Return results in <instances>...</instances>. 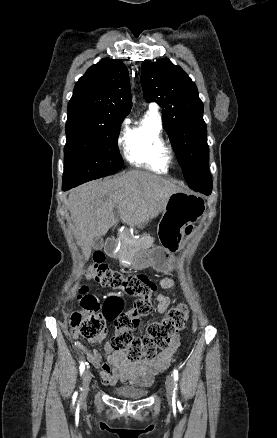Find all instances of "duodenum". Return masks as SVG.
<instances>
[{
  "label": "duodenum",
  "instance_id": "410a0bca",
  "mask_svg": "<svg viewBox=\"0 0 277 438\" xmlns=\"http://www.w3.org/2000/svg\"><path fill=\"white\" fill-rule=\"evenodd\" d=\"M117 250V242L114 239H108L105 243V251L107 254L114 256Z\"/></svg>",
  "mask_w": 277,
  "mask_h": 438
}]
</instances>
